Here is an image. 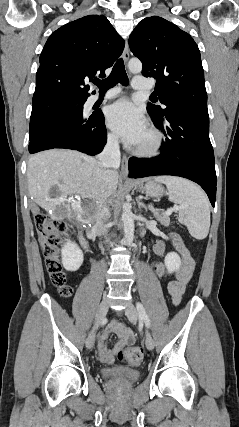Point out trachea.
Masks as SVG:
<instances>
[{"label": "trachea", "instance_id": "trachea-1", "mask_svg": "<svg viewBox=\"0 0 239 427\" xmlns=\"http://www.w3.org/2000/svg\"><path fill=\"white\" fill-rule=\"evenodd\" d=\"M118 82L122 85H128L129 80L125 71L124 62L119 59L114 65L111 74L104 80L95 81L98 86L99 92H106L108 89L114 87Z\"/></svg>", "mask_w": 239, "mask_h": 427}]
</instances>
